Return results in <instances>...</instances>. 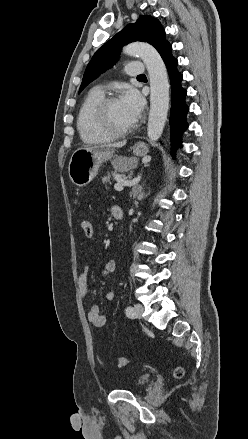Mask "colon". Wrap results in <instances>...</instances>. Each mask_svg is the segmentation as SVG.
<instances>
[{"instance_id":"obj_1","label":"colon","mask_w":248,"mask_h":439,"mask_svg":"<svg viewBox=\"0 0 248 439\" xmlns=\"http://www.w3.org/2000/svg\"><path fill=\"white\" fill-rule=\"evenodd\" d=\"M82 230L87 237H91L93 234V224L89 219L82 221L81 224ZM118 366H125L127 363V359L123 357H119L117 359ZM184 375V369L182 367H176L174 370V376L176 378H181Z\"/></svg>"}]
</instances>
